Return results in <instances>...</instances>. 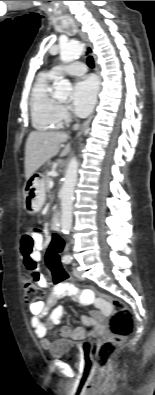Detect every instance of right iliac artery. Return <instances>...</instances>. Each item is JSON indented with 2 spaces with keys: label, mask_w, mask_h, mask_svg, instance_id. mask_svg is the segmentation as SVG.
I'll return each instance as SVG.
<instances>
[{
  "label": "right iliac artery",
  "mask_w": 155,
  "mask_h": 395,
  "mask_svg": "<svg viewBox=\"0 0 155 395\" xmlns=\"http://www.w3.org/2000/svg\"><path fill=\"white\" fill-rule=\"evenodd\" d=\"M71 260H72V257H71V256H68V255H67V256H64V257H63V262L66 263V264L70 263Z\"/></svg>",
  "instance_id": "1"
}]
</instances>
